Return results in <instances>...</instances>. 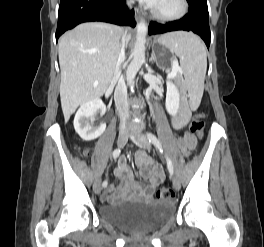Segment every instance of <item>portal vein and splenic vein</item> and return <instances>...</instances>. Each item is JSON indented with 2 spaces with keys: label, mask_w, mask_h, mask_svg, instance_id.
<instances>
[{
  "label": "portal vein and splenic vein",
  "mask_w": 264,
  "mask_h": 247,
  "mask_svg": "<svg viewBox=\"0 0 264 247\" xmlns=\"http://www.w3.org/2000/svg\"><path fill=\"white\" fill-rule=\"evenodd\" d=\"M180 70L179 66H178V63L176 61L173 62V66H172V70L171 72L168 74V77L169 78H172L174 77L178 71Z\"/></svg>",
  "instance_id": "portal-vein-and-splenic-vein-1"
}]
</instances>
